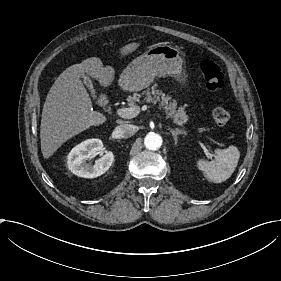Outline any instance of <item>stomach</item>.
I'll return each mask as SVG.
<instances>
[{"label": "stomach", "instance_id": "0dacf381", "mask_svg": "<svg viewBox=\"0 0 281 281\" xmlns=\"http://www.w3.org/2000/svg\"><path fill=\"white\" fill-rule=\"evenodd\" d=\"M183 62L184 59L178 48L171 45L151 46L123 70L119 86L130 92L140 91L150 86L156 76H172L183 83Z\"/></svg>", "mask_w": 281, "mask_h": 281}]
</instances>
